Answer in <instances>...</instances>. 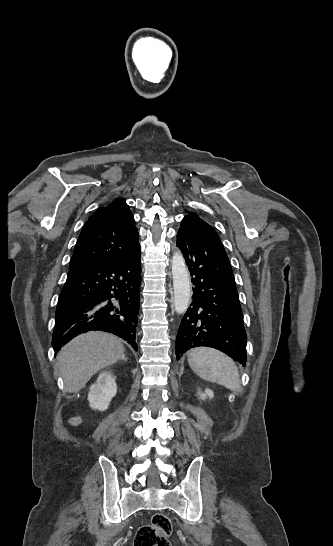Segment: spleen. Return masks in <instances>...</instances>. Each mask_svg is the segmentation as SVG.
Instances as JSON below:
<instances>
[{
	"label": "spleen",
	"instance_id": "obj_1",
	"mask_svg": "<svg viewBox=\"0 0 333 546\" xmlns=\"http://www.w3.org/2000/svg\"><path fill=\"white\" fill-rule=\"evenodd\" d=\"M188 362L200 378L221 384L232 391L239 389L238 368L224 353L212 348H195L189 352Z\"/></svg>",
	"mask_w": 333,
	"mask_h": 546
}]
</instances>
